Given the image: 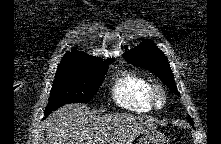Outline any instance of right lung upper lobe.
<instances>
[{
	"label": "right lung upper lobe",
	"mask_w": 221,
	"mask_h": 144,
	"mask_svg": "<svg viewBox=\"0 0 221 144\" xmlns=\"http://www.w3.org/2000/svg\"><path fill=\"white\" fill-rule=\"evenodd\" d=\"M110 61H113V60L109 58L108 60L103 61L99 57H93L83 52H79L76 49H73L72 52H68L67 54L64 55L59 67L99 65V64L110 62Z\"/></svg>",
	"instance_id": "right-lung-upper-lobe-1"
}]
</instances>
